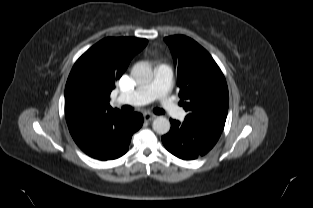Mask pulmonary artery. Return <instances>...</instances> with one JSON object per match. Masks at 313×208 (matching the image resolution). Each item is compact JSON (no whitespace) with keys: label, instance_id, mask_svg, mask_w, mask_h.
<instances>
[{"label":"pulmonary artery","instance_id":"e3ab8cb5","mask_svg":"<svg viewBox=\"0 0 313 208\" xmlns=\"http://www.w3.org/2000/svg\"><path fill=\"white\" fill-rule=\"evenodd\" d=\"M172 78V68L166 64H159L154 70V79L150 84L139 87L130 93L120 95L118 101L139 106L159 100L162 109L170 117L180 119L183 116V110L168 97L172 86Z\"/></svg>","mask_w":313,"mask_h":208}]
</instances>
